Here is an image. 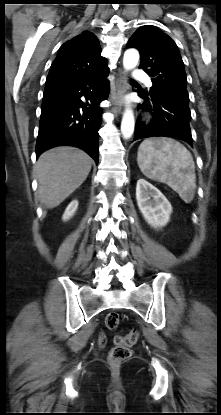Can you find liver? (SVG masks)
I'll return each mask as SVG.
<instances>
[{
	"mask_svg": "<svg viewBox=\"0 0 221 415\" xmlns=\"http://www.w3.org/2000/svg\"><path fill=\"white\" fill-rule=\"evenodd\" d=\"M91 166V157L75 147L44 152L35 166L40 202L50 209L60 205L86 180Z\"/></svg>",
	"mask_w": 221,
	"mask_h": 415,
	"instance_id": "obj_1",
	"label": "liver"
}]
</instances>
